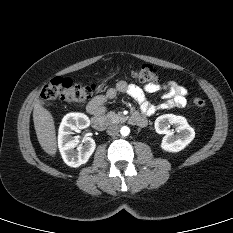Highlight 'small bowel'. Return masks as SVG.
<instances>
[{
  "label": "small bowel",
  "instance_id": "1",
  "mask_svg": "<svg viewBox=\"0 0 233 233\" xmlns=\"http://www.w3.org/2000/svg\"><path fill=\"white\" fill-rule=\"evenodd\" d=\"M163 92L164 101L159 104H151L145 93ZM118 92L126 93L132 97L140 108V114L147 117L158 111L182 108L186 105L187 90L175 81H168L163 84L149 83L140 87L126 81H119L116 88L109 89L104 95L96 96L90 101L87 109L90 113H102L105 110V104L113 99Z\"/></svg>",
  "mask_w": 233,
  "mask_h": 233
}]
</instances>
